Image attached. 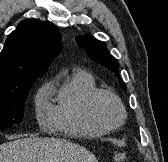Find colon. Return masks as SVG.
I'll return each instance as SVG.
<instances>
[{
	"label": "colon",
	"instance_id": "colon-1",
	"mask_svg": "<svg viewBox=\"0 0 168 162\" xmlns=\"http://www.w3.org/2000/svg\"><path fill=\"white\" fill-rule=\"evenodd\" d=\"M114 160L116 162H125L126 161V156L123 153H117L114 155Z\"/></svg>",
	"mask_w": 168,
	"mask_h": 162
}]
</instances>
